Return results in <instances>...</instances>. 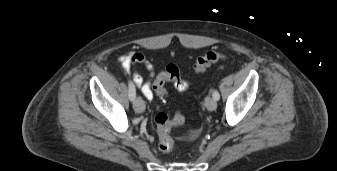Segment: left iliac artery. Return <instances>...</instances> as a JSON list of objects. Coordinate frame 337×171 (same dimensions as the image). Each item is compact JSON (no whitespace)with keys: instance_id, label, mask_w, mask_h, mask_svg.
<instances>
[{"instance_id":"obj_1","label":"left iliac artery","mask_w":337,"mask_h":171,"mask_svg":"<svg viewBox=\"0 0 337 171\" xmlns=\"http://www.w3.org/2000/svg\"><path fill=\"white\" fill-rule=\"evenodd\" d=\"M212 96L216 101L220 99V94L217 90H213Z\"/></svg>"}]
</instances>
